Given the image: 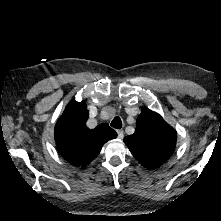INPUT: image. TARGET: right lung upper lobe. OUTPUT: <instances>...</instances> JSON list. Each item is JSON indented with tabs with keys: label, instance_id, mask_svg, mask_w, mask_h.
<instances>
[{
	"label": "right lung upper lobe",
	"instance_id": "1",
	"mask_svg": "<svg viewBox=\"0 0 221 221\" xmlns=\"http://www.w3.org/2000/svg\"><path fill=\"white\" fill-rule=\"evenodd\" d=\"M86 103H69L55 126V141L60 154L75 166L89 164L100 152L104 143L117 137V133L107 124L89 129Z\"/></svg>",
	"mask_w": 221,
	"mask_h": 221
}]
</instances>
